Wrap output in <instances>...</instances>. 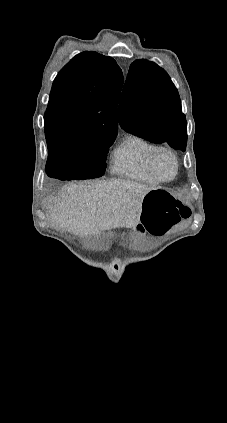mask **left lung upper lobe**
<instances>
[{
    "label": "left lung upper lobe",
    "mask_w": 227,
    "mask_h": 423,
    "mask_svg": "<svg viewBox=\"0 0 227 423\" xmlns=\"http://www.w3.org/2000/svg\"><path fill=\"white\" fill-rule=\"evenodd\" d=\"M118 118L131 134L175 149L186 147L187 122L178 91L166 71L153 62L141 59L131 64Z\"/></svg>",
    "instance_id": "5c2ea615"
}]
</instances>
